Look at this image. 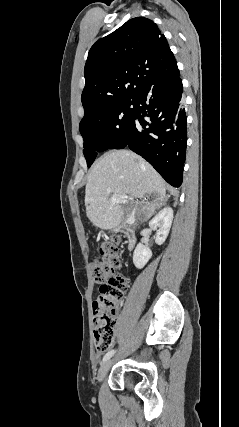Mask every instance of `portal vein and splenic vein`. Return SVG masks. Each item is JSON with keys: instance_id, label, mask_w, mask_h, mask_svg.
Here are the masks:
<instances>
[{"instance_id": "portal-vein-and-splenic-vein-1", "label": "portal vein and splenic vein", "mask_w": 239, "mask_h": 427, "mask_svg": "<svg viewBox=\"0 0 239 427\" xmlns=\"http://www.w3.org/2000/svg\"><path fill=\"white\" fill-rule=\"evenodd\" d=\"M127 196H120V195H113L111 196L110 200L114 203H123L125 202L124 199H127Z\"/></svg>"}]
</instances>
